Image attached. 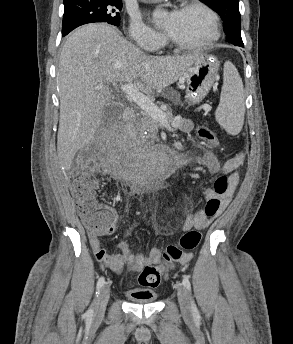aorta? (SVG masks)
<instances>
[{"instance_id":"aorta-1","label":"aorta","mask_w":293,"mask_h":344,"mask_svg":"<svg viewBox=\"0 0 293 344\" xmlns=\"http://www.w3.org/2000/svg\"><path fill=\"white\" fill-rule=\"evenodd\" d=\"M154 15L157 17H160L162 15V12H159V11L155 12ZM150 162H151V167L153 171L155 172L165 173L170 167L169 157L167 156L165 152H162V151L158 153H154L150 158Z\"/></svg>"}]
</instances>
